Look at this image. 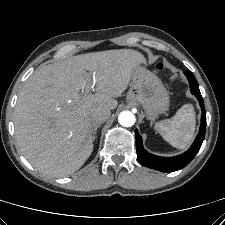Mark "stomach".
Returning a JSON list of instances; mask_svg holds the SVG:
<instances>
[{
    "instance_id": "0dacf381",
    "label": "stomach",
    "mask_w": 225,
    "mask_h": 225,
    "mask_svg": "<svg viewBox=\"0 0 225 225\" xmlns=\"http://www.w3.org/2000/svg\"><path fill=\"white\" fill-rule=\"evenodd\" d=\"M127 100L143 107L149 118L154 119L169 107V95L162 81L141 65L132 74Z\"/></svg>"
}]
</instances>
